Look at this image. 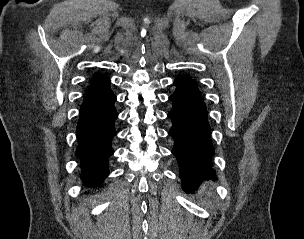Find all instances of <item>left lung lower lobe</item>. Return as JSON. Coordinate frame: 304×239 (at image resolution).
<instances>
[{
  "mask_svg": "<svg viewBox=\"0 0 304 239\" xmlns=\"http://www.w3.org/2000/svg\"><path fill=\"white\" fill-rule=\"evenodd\" d=\"M175 85L169 97L173 103L168 114L172 120L169 135L174 139L172 153L177 157L183 189L192 192L202 181L215 177L211 163L214 148L206 107L196 84L183 76Z\"/></svg>",
  "mask_w": 304,
  "mask_h": 239,
  "instance_id": "0a47b994",
  "label": "left lung lower lobe"
}]
</instances>
